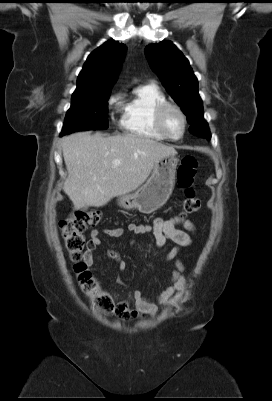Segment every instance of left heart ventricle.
I'll list each match as a JSON object with an SVG mask.
<instances>
[{"label":"left heart ventricle","instance_id":"obj_1","mask_svg":"<svg viewBox=\"0 0 272 401\" xmlns=\"http://www.w3.org/2000/svg\"><path fill=\"white\" fill-rule=\"evenodd\" d=\"M165 125L173 137H178L182 132V119L180 115L174 111L170 110L165 117Z\"/></svg>","mask_w":272,"mask_h":401}]
</instances>
